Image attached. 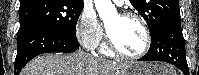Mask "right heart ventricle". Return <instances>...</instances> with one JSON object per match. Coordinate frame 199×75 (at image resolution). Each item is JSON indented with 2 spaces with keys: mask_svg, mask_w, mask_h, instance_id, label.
I'll use <instances>...</instances> for the list:
<instances>
[{
  "mask_svg": "<svg viewBox=\"0 0 199 75\" xmlns=\"http://www.w3.org/2000/svg\"><path fill=\"white\" fill-rule=\"evenodd\" d=\"M100 51L103 53V54H106V55H110L111 54V51L110 49L107 47V46H102Z\"/></svg>",
  "mask_w": 199,
  "mask_h": 75,
  "instance_id": "1",
  "label": "right heart ventricle"
}]
</instances>
